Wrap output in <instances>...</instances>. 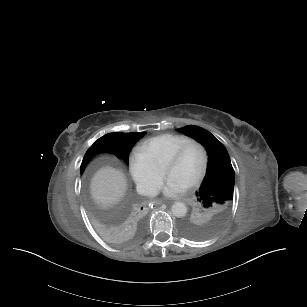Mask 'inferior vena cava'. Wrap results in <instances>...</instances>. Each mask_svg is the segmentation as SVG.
I'll list each match as a JSON object with an SVG mask.
<instances>
[{
	"label": "inferior vena cava",
	"mask_w": 307,
	"mask_h": 307,
	"mask_svg": "<svg viewBox=\"0 0 307 307\" xmlns=\"http://www.w3.org/2000/svg\"><path fill=\"white\" fill-rule=\"evenodd\" d=\"M137 191L147 197H154L157 194V189L151 186L138 185Z\"/></svg>",
	"instance_id": "inferior-vena-cava-1"
}]
</instances>
